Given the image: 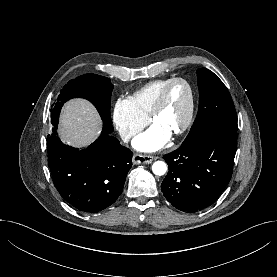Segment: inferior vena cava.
<instances>
[{"instance_id": "1", "label": "inferior vena cava", "mask_w": 277, "mask_h": 277, "mask_svg": "<svg viewBox=\"0 0 277 277\" xmlns=\"http://www.w3.org/2000/svg\"><path fill=\"white\" fill-rule=\"evenodd\" d=\"M121 138L124 142H128L129 139L133 136V133H131L130 131L128 130H124L121 132Z\"/></svg>"}]
</instances>
